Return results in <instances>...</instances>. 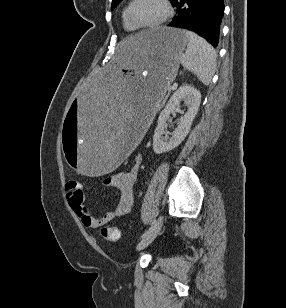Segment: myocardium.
<instances>
[{
  "mask_svg": "<svg viewBox=\"0 0 286 308\" xmlns=\"http://www.w3.org/2000/svg\"><path fill=\"white\" fill-rule=\"evenodd\" d=\"M137 2V0H131L128 4L127 7V20L129 21V23L136 29H155L158 28L160 26H162L171 16L172 14V9H171V5L169 3L168 0H160L163 9H164V15L156 22L151 23V24H138L135 22V20L133 19L132 16V9L134 4Z\"/></svg>",
  "mask_w": 286,
  "mask_h": 308,
  "instance_id": "myocardium-1",
  "label": "myocardium"
}]
</instances>
